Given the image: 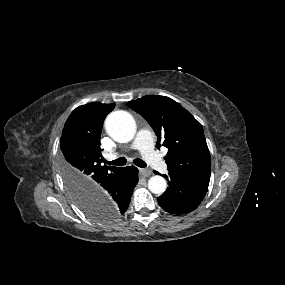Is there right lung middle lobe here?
<instances>
[{
	"mask_svg": "<svg viewBox=\"0 0 285 285\" xmlns=\"http://www.w3.org/2000/svg\"><path fill=\"white\" fill-rule=\"evenodd\" d=\"M63 177L65 180V183L79 206V208L90 218L96 220V221H101V222H107V221H112L117 218L116 212L113 211V209L106 204H100V203H95L93 201H85L82 200L81 198L78 197L76 188L72 185H70L68 178L66 176V173H63Z\"/></svg>",
	"mask_w": 285,
	"mask_h": 285,
	"instance_id": "1",
	"label": "right lung middle lobe"
}]
</instances>
